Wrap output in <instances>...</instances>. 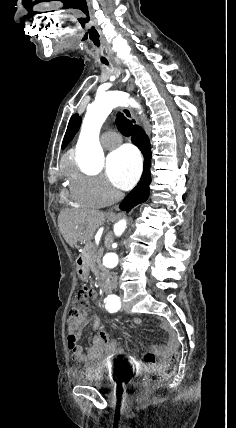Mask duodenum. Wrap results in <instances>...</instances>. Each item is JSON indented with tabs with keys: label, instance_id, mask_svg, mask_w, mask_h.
Returning a JSON list of instances; mask_svg holds the SVG:
<instances>
[{
	"label": "duodenum",
	"instance_id": "duodenum-1",
	"mask_svg": "<svg viewBox=\"0 0 236 428\" xmlns=\"http://www.w3.org/2000/svg\"><path fill=\"white\" fill-rule=\"evenodd\" d=\"M76 265L79 270H83L84 268V260L81 256H78L76 259ZM116 276L114 274H108L105 278V282L103 285V292L106 297L113 294V291L116 287Z\"/></svg>",
	"mask_w": 236,
	"mask_h": 428
}]
</instances>
